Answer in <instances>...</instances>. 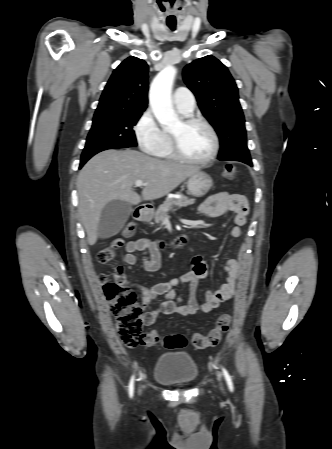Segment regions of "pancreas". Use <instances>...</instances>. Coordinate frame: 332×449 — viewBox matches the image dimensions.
<instances>
[{"instance_id": "obj_1", "label": "pancreas", "mask_w": 332, "mask_h": 449, "mask_svg": "<svg viewBox=\"0 0 332 449\" xmlns=\"http://www.w3.org/2000/svg\"><path fill=\"white\" fill-rule=\"evenodd\" d=\"M195 200L190 199L186 196H181L180 198H166L164 203L157 209V211L153 214L154 220L157 224L163 222L164 218L167 216L168 211L173 208H181L187 207L189 205L194 204Z\"/></svg>"}]
</instances>
